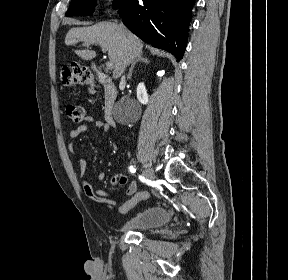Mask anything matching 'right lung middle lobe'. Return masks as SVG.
Listing matches in <instances>:
<instances>
[{"label": "right lung middle lobe", "instance_id": "1", "mask_svg": "<svg viewBox=\"0 0 288 280\" xmlns=\"http://www.w3.org/2000/svg\"><path fill=\"white\" fill-rule=\"evenodd\" d=\"M123 2L124 0H114L112 6L116 9L120 7ZM95 4L96 0H72L71 5L65 15H92Z\"/></svg>", "mask_w": 288, "mask_h": 280}]
</instances>
